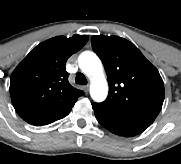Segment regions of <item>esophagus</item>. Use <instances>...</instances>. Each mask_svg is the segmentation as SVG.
Here are the masks:
<instances>
[{
    "label": "esophagus",
    "instance_id": "esophagus-1",
    "mask_svg": "<svg viewBox=\"0 0 181 164\" xmlns=\"http://www.w3.org/2000/svg\"><path fill=\"white\" fill-rule=\"evenodd\" d=\"M83 90H84L85 93H87L88 90H89V85H84L83 86Z\"/></svg>",
    "mask_w": 181,
    "mask_h": 164
}]
</instances>
